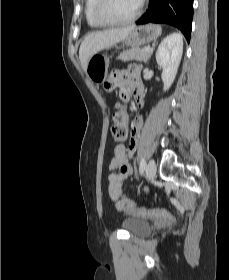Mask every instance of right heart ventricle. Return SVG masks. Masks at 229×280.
Returning a JSON list of instances; mask_svg holds the SVG:
<instances>
[{
    "label": "right heart ventricle",
    "mask_w": 229,
    "mask_h": 280,
    "mask_svg": "<svg viewBox=\"0 0 229 280\" xmlns=\"http://www.w3.org/2000/svg\"><path fill=\"white\" fill-rule=\"evenodd\" d=\"M96 4H97V0H85L84 13H85L87 24L91 28L98 29V28H102L103 25L99 24L94 17V10Z\"/></svg>",
    "instance_id": "1"
}]
</instances>
